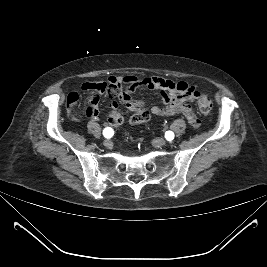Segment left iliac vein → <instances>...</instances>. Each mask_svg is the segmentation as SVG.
<instances>
[{"label": "left iliac vein", "instance_id": "left-iliac-vein-1", "mask_svg": "<svg viewBox=\"0 0 267 267\" xmlns=\"http://www.w3.org/2000/svg\"><path fill=\"white\" fill-rule=\"evenodd\" d=\"M152 143L155 147H163L167 142L162 138H156L152 141Z\"/></svg>", "mask_w": 267, "mask_h": 267}]
</instances>
